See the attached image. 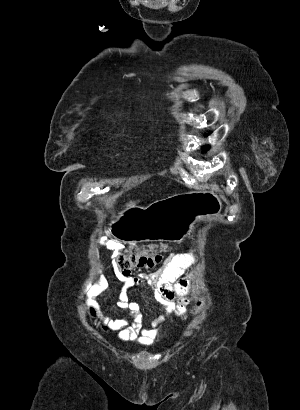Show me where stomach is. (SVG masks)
Segmentation results:
<instances>
[{
    "label": "stomach",
    "instance_id": "1",
    "mask_svg": "<svg viewBox=\"0 0 300 410\" xmlns=\"http://www.w3.org/2000/svg\"><path fill=\"white\" fill-rule=\"evenodd\" d=\"M155 204V205H154ZM148 207L130 206L111 222L112 236L131 241L184 240L196 222L220 214L221 199L212 191H196L160 200Z\"/></svg>",
    "mask_w": 300,
    "mask_h": 410
}]
</instances>
